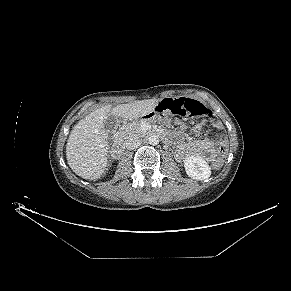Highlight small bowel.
I'll return each instance as SVG.
<instances>
[{"label":"small bowel","instance_id":"1","mask_svg":"<svg viewBox=\"0 0 291 291\" xmlns=\"http://www.w3.org/2000/svg\"><path fill=\"white\" fill-rule=\"evenodd\" d=\"M179 131L173 135V138L177 141H180L182 138V131L184 129V124L178 122ZM212 126L216 129H220V123L214 122ZM203 124L202 122H198L193 130L196 133H199L202 130ZM190 154H197L202 156L207 161H214L218 154L214 146V142L209 138L199 139L192 141L188 144H180L177 150V156L181 159L185 158Z\"/></svg>","mask_w":291,"mask_h":291}]
</instances>
